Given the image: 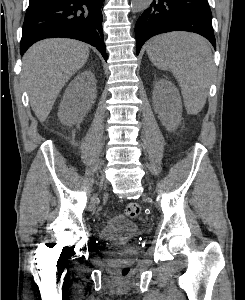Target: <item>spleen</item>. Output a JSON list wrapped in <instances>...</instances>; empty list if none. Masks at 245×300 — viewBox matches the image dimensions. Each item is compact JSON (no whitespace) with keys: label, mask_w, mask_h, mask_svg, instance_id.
Wrapping results in <instances>:
<instances>
[{"label":"spleen","mask_w":245,"mask_h":300,"mask_svg":"<svg viewBox=\"0 0 245 300\" xmlns=\"http://www.w3.org/2000/svg\"><path fill=\"white\" fill-rule=\"evenodd\" d=\"M146 49L158 69L170 70L176 77L187 112H200L206 102L213 69L207 42L195 34L173 32L150 39Z\"/></svg>","instance_id":"obj_1"}]
</instances>
